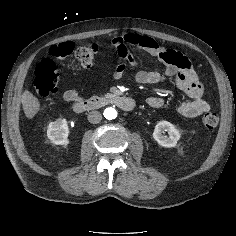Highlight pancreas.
Instances as JSON below:
<instances>
[{
  "label": "pancreas",
  "instance_id": "cf45deb5",
  "mask_svg": "<svg viewBox=\"0 0 236 236\" xmlns=\"http://www.w3.org/2000/svg\"><path fill=\"white\" fill-rule=\"evenodd\" d=\"M112 96H113L112 94L107 93V94L104 96V98H105V99H108V98H111ZM101 98H103V97L101 96Z\"/></svg>",
  "mask_w": 236,
  "mask_h": 236
}]
</instances>
